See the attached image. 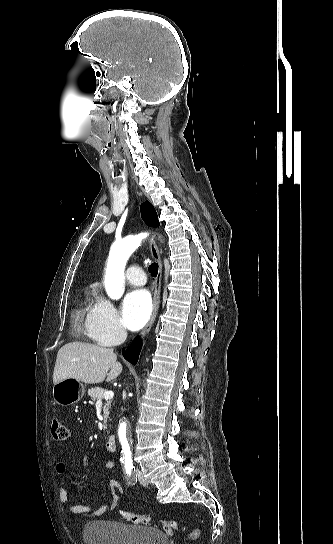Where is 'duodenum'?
Here are the masks:
<instances>
[{"label": "duodenum", "instance_id": "1", "mask_svg": "<svg viewBox=\"0 0 333 544\" xmlns=\"http://www.w3.org/2000/svg\"><path fill=\"white\" fill-rule=\"evenodd\" d=\"M106 449L109 452H114L116 450V437L111 435L107 438L105 443Z\"/></svg>", "mask_w": 333, "mask_h": 544}]
</instances>
